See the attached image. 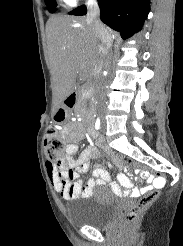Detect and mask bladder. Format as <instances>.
Masks as SVG:
<instances>
[{
	"instance_id": "1",
	"label": "bladder",
	"mask_w": 183,
	"mask_h": 246,
	"mask_svg": "<svg viewBox=\"0 0 183 246\" xmlns=\"http://www.w3.org/2000/svg\"><path fill=\"white\" fill-rule=\"evenodd\" d=\"M119 201L105 191L94 194L88 202L80 208L68 212L72 225L76 227L105 228L116 216Z\"/></svg>"
}]
</instances>
